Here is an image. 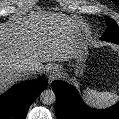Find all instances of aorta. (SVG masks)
I'll return each instance as SVG.
<instances>
[{
  "label": "aorta",
  "instance_id": "1",
  "mask_svg": "<svg viewBox=\"0 0 119 119\" xmlns=\"http://www.w3.org/2000/svg\"><path fill=\"white\" fill-rule=\"evenodd\" d=\"M40 101L45 105H51L56 101V95L52 89H46L40 94Z\"/></svg>",
  "mask_w": 119,
  "mask_h": 119
}]
</instances>
